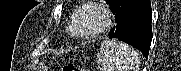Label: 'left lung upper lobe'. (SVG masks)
Masks as SVG:
<instances>
[{
  "instance_id": "left-lung-upper-lobe-1",
  "label": "left lung upper lobe",
  "mask_w": 181,
  "mask_h": 71,
  "mask_svg": "<svg viewBox=\"0 0 181 71\" xmlns=\"http://www.w3.org/2000/svg\"><path fill=\"white\" fill-rule=\"evenodd\" d=\"M105 1L110 5V8H112L114 3L116 2V0H105Z\"/></svg>"
}]
</instances>
